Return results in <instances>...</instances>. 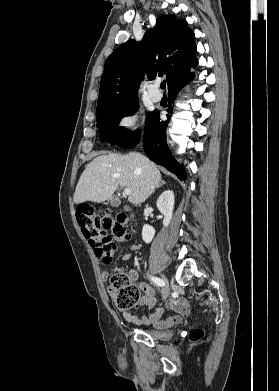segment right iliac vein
<instances>
[{
	"label": "right iliac vein",
	"instance_id": "obj_1",
	"mask_svg": "<svg viewBox=\"0 0 279 391\" xmlns=\"http://www.w3.org/2000/svg\"><path fill=\"white\" fill-rule=\"evenodd\" d=\"M162 278H163L164 283H165V285H164V287L162 289V297H163V299H166L169 296V290H170V288H169V281H168V279L164 275H162Z\"/></svg>",
	"mask_w": 279,
	"mask_h": 391
}]
</instances>
